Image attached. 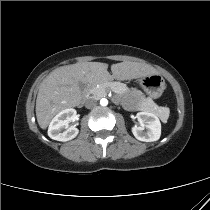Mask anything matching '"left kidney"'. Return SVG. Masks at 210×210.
<instances>
[{"label":"left kidney","instance_id":"1","mask_svg":"<svg viewBox=\"0 0 210 210\" xmlns=\"http://www.w3.org/2000/svg\"><path fill=\"white\" fill-rule=\"evenodd\" d=\"M137 119L141 126L132 127V133L136 139L143 142H153L159 140L161 136V123L155 114L149 112H139L137 113Z\"/></svg>","mask_w":210,"mask_h":210}]
</instances>
